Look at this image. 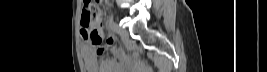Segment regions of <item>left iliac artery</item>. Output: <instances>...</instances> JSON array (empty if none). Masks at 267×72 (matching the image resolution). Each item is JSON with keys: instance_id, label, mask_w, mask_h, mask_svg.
<instances>
[{"instance_id": "1", "label": "left iliac artery", "mask_w": 267, "mask_h": 72, "mask_svg": "<svg viewBox=\"0 0 267 72\" xmlns=\"http://www.w3.org/2000/svg\"><path fill=\"white\" fill-rule=\"evenodd\" d=\"M109 26L112 31L118 32V25L114 21H111Z\"/></svg>"}]
</instances>
